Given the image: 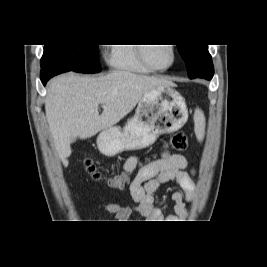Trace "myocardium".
Here are the masks:
<instances>
[{
    "mask_svg": "<svg viewBox=\"0 0 267 267\" xmlns=\"http://www.w3.org/2000/svg\"><path fill=\"white\" fill-rule=\"evenodd\" d=\"M169 45L170 49H171V52H172V59H171V62L168 66L166 67H156L148 58V54H147V51H148V44H142V46H139V55H140V58L142 60V62L148 66L152 71H157V72H164V71H167L169 70L176 62V56H177V53H176V47L173 45V44H167Z\"/></svg>",
    "mask_w": 267,
    "mask_h": 267,
    "instance_id": "f54148a6",
    "label": "myocardium"
}]
</instances>
